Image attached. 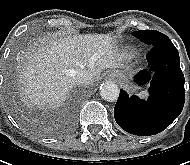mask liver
<instances>
[{"instance_id": "6515ba94", "label": "liver", "mask_w": 190, "mask_h": 165, "mask_svg": "<svg viewBox=\"0 0 190 165\" xmlns=\"http://www.w3.org/2000/svg\"><path fill=\"white\" fill-rule=\"evenodd\" d=\"M117 51L110 34H53L29 49L19 65L24 100L39 107H58L75 80L73 71L85 69L97 79L102 70L117 68Z\"/></svg>"}]
</instances>
